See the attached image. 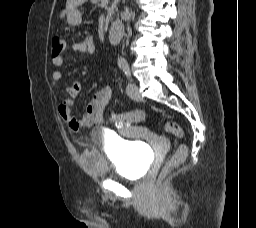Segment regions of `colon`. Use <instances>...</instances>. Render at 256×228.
Here are the masks:
<instances>
[{
    "mask_svg": "<svg viewBox=\"0 0 256 228\" xmlns=\"http://www.w3.org/2000/svg\"><path fill=\"white\" fill-rule=\"evenodd\" d=\"M65 47V42L60 36H54L52 40V48H53V54H59L63 52ZM145 118V114L142 110H134L129 113H123V114H115L113 116V121L117 126H122L125 124H134L142 122ZM165 131L168 133L173 134L177 138H183L184 133L182 128L175 122H168L165 124ZM188 154V147L185 143H181L176 148L174 154L169 159L166 167L162 171L159 180H162L163 177L166 175V173L173 168L178 167L183 163L186 156Z\"/></svg>",
    "mask_w": 256,
    "mask_h": 228,
    "instance_id": "5ec220e1",
    "label": "colon"
}]
</instances>
